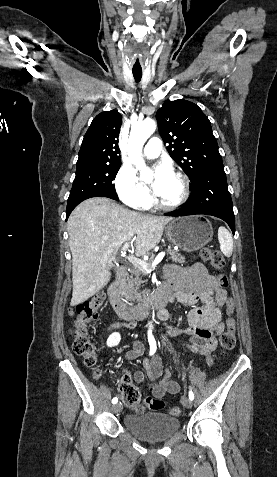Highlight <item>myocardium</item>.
I'll use <instances>...</instances> for the list:
<instances>
[{
	"label": "myocardium",
	"instance_id": "obj_1",
	"mask_svg": "<svg viewBox=\"0 0 277 477\" xmlns=\"http://www.w3.org/2000/svg\"><path fill=\"white\" fill-rule=\"evenodd\" d=\"M173 174L180 180L182 185V192L180 197L172 203H166L162 201L158 196H156L155 201L157 206L164 210H175L180 208L187 202L190 196V181L188 177L184 173L179 171H176Z\"/></svg>",
	"mask_w": 277,
	"mask_h": 477
}]
</instances>
